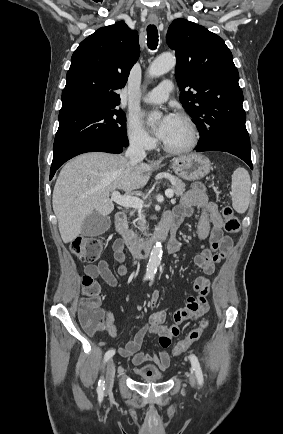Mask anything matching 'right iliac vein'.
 Returning <instances> with one entry per match:
<instances>
[{"instance_id":"63e3f726","label":"right iliac vein","mask_w":283,"mask_h":434,"mask_svg":"<svg viewBox=\"0 0 283 434\" xmlns=\"http://www.w3.org/2000/svg\"><path fill=\"white\" fill-rule=\"evenodd\" d=\"M115 363L113 359H110L108 361L107 365V373H106V382H105V389L106 391L111 390L114 382V376H115Z\"/></svg>"}]
</instances>
